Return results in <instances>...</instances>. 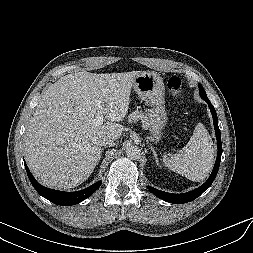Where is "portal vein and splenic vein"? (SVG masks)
<instances>
[{
  "label": "portal vein and splenic vein",
  "mask_w": 253,
  "mask_h": 253,
  "mask_svg": "<svg viewBox=\"0 0 253 253\" xmlns=\"http://www.w3.org/2000/svg\"><path fill=\"white\" fill-rule=\"evenodd\" d=\"M95 103L101 110H100V112H98V114H97L96 118L93 120V122H94L95 125L99 126V125L103 124V121H104V115H103V112H102L103 108H102V105H101L102 101L97 99L95 101Z\"/></svg>",
  "instance_id": "1"
}]
</instances>
